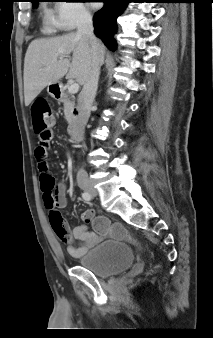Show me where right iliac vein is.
I'll list each match as a JSON object with an SVG mask.
<instances>
[{"mask_svg": "<svg viewBox=\"0 0 213 338\" xmlns=\"http://www.w3.org/2000/svg\"><path fill=\"white\" fill-rule=\"evenodd\" d=\"M80 187L85 192H88V193H91V194H95L96 193V190L94 189V187L91 184H82V185H80Z\"/></svg>", "mask_w": 213, "mask_h": 338, "instance_id": "63e3f726", "label": "right iliac vein"}]
</instances>
